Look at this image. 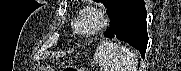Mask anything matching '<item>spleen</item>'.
Here are the masks:
<instances>
[{
  "instance_id": "obj_1",
  "label": "spleen",
  "mask_w": 181,
  "mask_h": 71,
  "mask_svg": "<svg viewBox=\"0 0 181 71\" xmlns=\"http://www.w3.org/2000/svg\"><path fill=\"white\" fill-rule=\"evenodd\" d=\"M94 62L100 71H137L138 60L128 48L108 41L98 44Z\"/></svg>"
}]
</instances>
